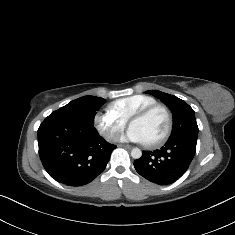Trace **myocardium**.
Instances as JSON below:
<instances>
[{"label":"myocardium","instance_id":"obj_1","mask_svg":"<svg viewBox=\"0 0 235 235\" xmlns=\"http://www.w3.org/2000/svg\"><path fill=\"white\" fill-rule=\"evenodd\" d=\"M158 110L163 111L165 113L167 117V128L160 137H158L152 142L145 143V146L147 148L157 147L161 145L162 143H164L170 137L173 127H174V118H173L172 112L165 105L154 104L134 114L130 121V123H132L134 120L146 118L149 115H151L153 112L158 111Z\"/></svg>","mask_w":235,"mask_h":235}]
</instances>
